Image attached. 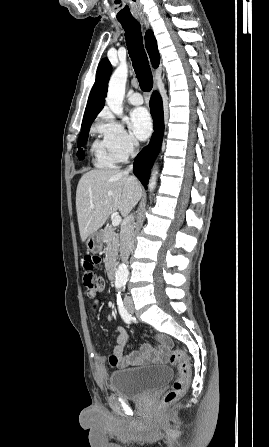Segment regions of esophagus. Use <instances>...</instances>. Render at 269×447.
I'll use <instances>...</instances> for the list:
<instances>
[{
	"mask_svg": "<svg viewBox=\"0 0 269 447\" xmlns=\"http://www.w3.org/2000/svg\"><path fill=\"white\" fill-rule=\"evenodd\" d=\"M140 21L145 25L146 28L149 27V24H148L146 18H145L143 15L140 17ZM153 74H154V86H153V90H157L158 86H157V80H156V77H155L156 70H153Z\"/></svg>",
	"mask_w": 269,
	"mask_h": 447,
	"instance_id": "esophagus-1",
	"label": "esophagus"
}]
</instances>
